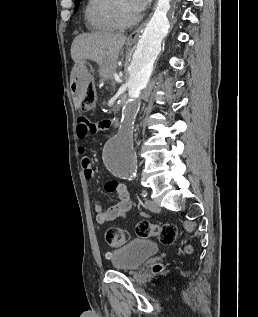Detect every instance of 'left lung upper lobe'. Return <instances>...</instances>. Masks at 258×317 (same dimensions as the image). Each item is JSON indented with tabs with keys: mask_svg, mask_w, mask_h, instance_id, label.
Returning a JSON list of instances; mask_svg holds the SVG:
<instances>
[{
	"mask_svg": "<svg viewBox=\"0 0 258 317\" xmlns=\"http://www.w3.org/2000/svg\"><path fill=\"white\" fill-rule=\"evenodd\" d=\"M81 2V0H75V4L77 5L76 6V8H75V12H76V10H77V8H78V4Z\"/></svg>",
	"mask_w": 258,
	"mask_h": 317,
	"instance_id": "obj_1",
	"label": "left lung upper lobe"
}]
</instances>
